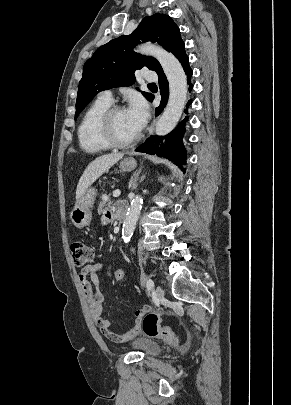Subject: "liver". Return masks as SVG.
<instances>
[{
    "instance_id": "liver-1",
    "label": "liver",
    "mask_w": 291,
    "mask_h": 405,
    "mask_svg": "<svg viewBox=\"0 0 291 405\" xmlns=\"http://www.w3.org/2000/svg\"><path fill=\"white\" fill-rule=\"evenodd\" d=\"M123 157L122 153L107 154L96 158L85 169L76 189V201L104 172L108 171Z\"/></svg>"
}]
</instances>
